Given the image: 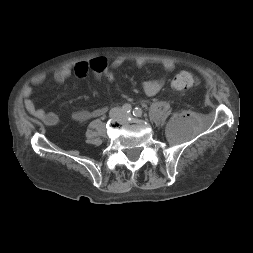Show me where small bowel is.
Here are the masks:
<instances>
[{"instance_id":"obj_1","label":"small bowel","mask_w":253,"mask_h":253,"mask_svg":"<svg viewBox=\"0 0 253 253\" xmlns=\"http://www.w3.org/2000/svg\"><path fill=\"white\" fill-rule=\"evenodd\" d=\"M125 63V59L118 57L110 60L108 62V68L112 72V70L120 68ZM135 65L137 67H143L145 65V61L143 59H137L135 61ZM162 67L166 72H172L175 68V65L171 61H165L162 63ZM89 62L81 61L74 65L73 69L65 67L55 72L54 80L55 82L61 84L64 83L71 75L74 73L77 77L83 78L89 72ZM44 76H38L34 78V85H41L44 82ZM164 79H148L143 83V89L148 96H153L157 94L164 86ZM24 95V105L27 112L41 121L46 126H54L59 121V116L56 112L46 111L43 108H38L34 101L32 100V89L30 87H26L23 91ZM106 113L105 107H98L93 110H77L73 112L72 119L76 122L83 123L92 118L101 117Z\"/></svg>"}]
</instances>
